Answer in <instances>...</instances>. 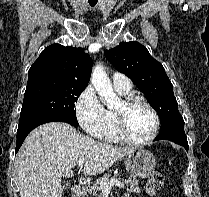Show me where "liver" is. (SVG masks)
<instances>
[{"label":"liver","mask_w":209,"mask_h":197,"mask_svg":"<svg viewBox=\"0 0 209 197\" xmlns=\"http://www.w3.org/2000/svg\"><path fill=\"white\" fill-rule=\"evenodd\" d=\"M133 147H114L79 134L67 123L50 122L35 128L16 157L21 197H62V177L73 176L79 159H85L84 175L101 174Z\"/></svg>","instance_id":"obj_1"}]
</instances>
